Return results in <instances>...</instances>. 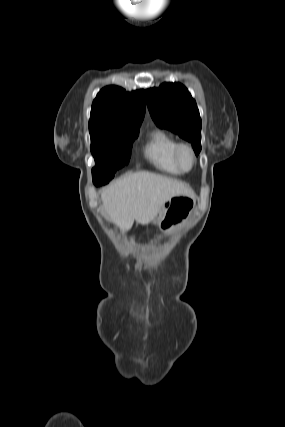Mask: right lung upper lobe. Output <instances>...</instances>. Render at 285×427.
Here are the masks:
<instances>
[{
    "label": "right lung upper lobe",
    "mask_w": 285,
    "mask_h": 427,
    "mask_svg": "<svg viewBox=\"0 0 285 427\" xmlns=\"http://www.w3.org/2000/svg\"><path fill=\"white\" fill-rule=\"evenodd\" d=\"M144 114L143 90L129 93L120 87L108 86L93 101L89 127H139Z\"/></svg>",
    "instance_id": "obj_1"
}]
</instances>
